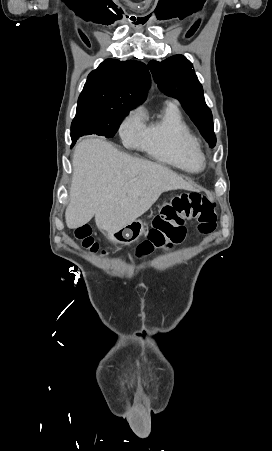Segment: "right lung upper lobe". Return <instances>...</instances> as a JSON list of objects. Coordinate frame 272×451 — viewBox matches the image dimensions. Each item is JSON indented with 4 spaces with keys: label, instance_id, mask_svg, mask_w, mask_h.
Instances as JSON below:
<instances>
[{
    "label": "right lung upper lobe",
    "instance_id": "1",
    "mask_svg": "<svg viewBox=\"0 0 272 451\" xmlns=\"http://www.w3.org/2000/svg\"><path fill=\"white\" fill-rule=\"evenodd\" d=\"M150 84L145 64L107 59L88 75L78 105L133 108L145 101Z\"/></svg>",
    "mask_w": 272,
    "mask_h": 451
}]
</instances>
